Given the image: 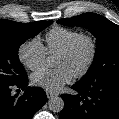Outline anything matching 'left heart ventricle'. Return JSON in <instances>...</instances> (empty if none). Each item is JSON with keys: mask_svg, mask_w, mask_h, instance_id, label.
Instances as JSON below:
<instances>
[{"mask_svg": "<svg viewBox=\"0 0 119 119\" xmlns=\"http://www.w3.org/2000/svg\"><path fill=\"white\" fill-rule=\"evenodd\" d=\"M89 56V47L86 43H81L75 53L71 56L59 55L57 58V67H66L73 74L78 72L86 63Z\"/></svg>", "mask_w": 119, "mask_h": 119, "instance_id": "1", "label": "left heart ventricle"}]
</instances>
